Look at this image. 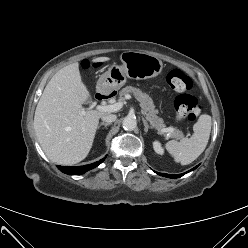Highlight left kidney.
<instances>
[{"label": "left kidney", "mask_w": 248, "mask_h": 248, "mask_svg": "<svg viewBox=\"0 0 248 248\" xmlns=\"http://www.w3.org/2000/svg\"><path fill=\"white\" fill-rule=\"evenodd\" d=\"M153 148H154V151L157 153V154H160V155H163L164 154V149L163 147L161 146V143L159 141H154L153 142Z\"/></svg>", "instance_id": "left-kidney-1"}]
</instances>
